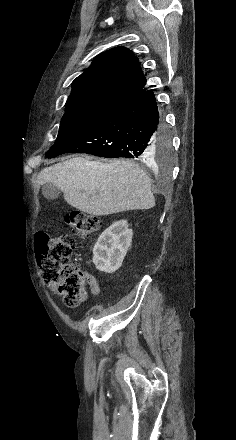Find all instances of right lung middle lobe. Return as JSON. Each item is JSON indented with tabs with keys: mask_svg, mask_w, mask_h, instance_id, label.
Here are the masks:
<instances>
[{
	"mask_svg": "<svg viewBox=\"0 0 236 440\" xmlns=\"http://www.w3.org/2000/svg\"><path fill=\"white\" fill-rule=\"evenodd\" d=\"M65 107L66 111L60 123L59 133L51 149L60 147L71 138L82 133L115 108L111 105L91 102L66 103ZM155 146V159L160 163L168 161L171 154V144L165 133H162L155 140Z\"/></svg>",
	"mask_w": 236,
	"mask_h": 440,
	"instance_id": "1",
	"label": "right lung middle lobe"
}]
</instances>
